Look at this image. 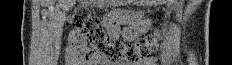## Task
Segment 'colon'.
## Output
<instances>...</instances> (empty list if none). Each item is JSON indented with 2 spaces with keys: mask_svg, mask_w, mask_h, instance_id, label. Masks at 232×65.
I'll return each instance as SVG.
<instances>
[{
  "mask_svg": "<svg viewBox=\"0 0 232 65\" xmlns=\"http://www.w3.org/2000/svg\"><path fill=\"white\" fill-rule=\"evenodd\" d=\"M69 22L80 33L75 41V56L92 65H134L149 57L158 44L156 35L141 37L133 44L108 37L99 20L84 7L76 8Z\"/></svg>",
  "mask_w": 232,
  "mask_h": 65,
  "instance_id": "obj_1",
  "label": "colon"
}]
</instances>
